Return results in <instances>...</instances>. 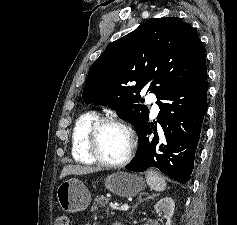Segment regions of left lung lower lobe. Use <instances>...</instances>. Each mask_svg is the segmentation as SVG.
Segmentation results:
<instances>
[{
  "label": "left lung lower lobe",
  "instance_id": "0a47b994",
  "mask_svg": "<svg viewBox=\"0 0 237 225\" xmlns=\"http://www.w3.org/2000/svg\"><path fill=\"white\" fill-rule=\"evenodd\" d=\"M207 90L206 77L193 87L163 95L162 101H157L159 127L157 122L145 120L137 132L138 152L126 168L143 172L155 167L174 180L187 183L207 110Z\"/></svg>",
  "mask_w": 237,
  "mask_h": 225
}]
</instances>
